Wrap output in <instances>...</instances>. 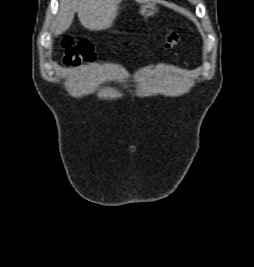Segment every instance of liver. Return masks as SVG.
Segmentation results:
<instances>
[{
  "label": "liver",
  "instance_id": "6515ba94",
  "mask_svg": "<svg viewBox=\"0 0 254 267\" xmlns=\"http://www.w3.org/2000/svg\"><path fill=\"white\" fill-rule=\"evenodd\" d=\"M120 3L121 0H61L54 34L61 35L68 30L76 12L84 28L90 31L107 29L116 19Z\"/></svg>",
  "mask_w": 254,
  "mask_h": 267
}]
</instances>
